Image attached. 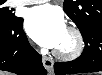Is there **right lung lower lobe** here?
Masks as SVG:
<instances>
[{"label": "right lung lower lobe", "instance_id": "right-lung-lower-lobe-1", "mask_svg": "<svg viewBox=\"0 0 102 75\" xmlns=\"http://www.w3.org/2000/svg\"><path fill=\"white\" fill-rule=\"evenodd\" d=\"M23 19L0 23V70L18 75H45L42 56L29 44Z\"/></svg>", "mask_w": 102, "mask_h": 75}]
</instances>
